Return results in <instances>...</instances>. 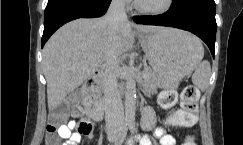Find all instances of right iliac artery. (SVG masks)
<instances>
[{
	"mask_svg": "<svg viewBox=\"0 0 243 145\" xmlns=\"http://www.w3.org/2000/svg\"><path fill=\"white\" fill-rule=\"evenodd\" d=\"M128 126L129 125L127 123L124 124V126L122 127V130L120 132L119 138L115 142V145H122V143L124 142L126 135H127Z\"/></svg>",
	"mask_w": 243,
	"mask_h": 145,
	"instance_id": "1",
	"label": "right iliac artery"
}]
</instances>
